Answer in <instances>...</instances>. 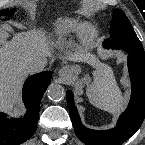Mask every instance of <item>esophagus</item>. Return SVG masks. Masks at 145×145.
Here are the masks:
<instances>
[{
	"mask_svg": "<svg viewBox=\"0 0 145 145\" xmlns=\"http://www.w3.org/2000/svg\"><path fill=\"white\" fill-rule=\"evenodd\" d=\"M69 70L67 69V68H62V69H60V71H59V76L61 77V79L63 80V81H66L67 80V78H68V76H69Z\"/></svg>",
	"mask_w": 145,
	"mask_h": 145,
	"instance_id": "esophagus-1",
	"label": "esophagus"
}]
</instances>
